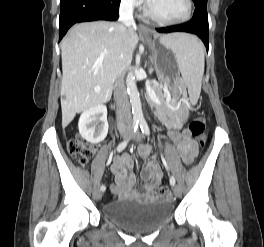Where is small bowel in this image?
Here are the masks:
<instances>
[{"label": "small bowel", "instance_id": "obj_1", "mask_svg": "<svg viewBox=\"0 0 264 247\" xmlns=\"http://www.w3.org/2000/svg\"><path fill=\"white\" fill-rule=\"evenodd\" d=\"M160 118L169 128V138L176 144L183 162L190 165L197 154V144L187 130L181 131L184 116L173 117L161 112ZM151 150V145H143L139 147L138 154L141 158H146ZM132 166V161L126 154H122L114 160L112 172L115 175L116 185L112 187V192L122 199L130 196L153 199L155 189L162 180L160 166L156 162H150L143 168L141 177L147 182L143 192L131 191L136 185V178L132 172Z\"/></svg>", "mask_w": 264, "mask_h": 247}]
</instances>
